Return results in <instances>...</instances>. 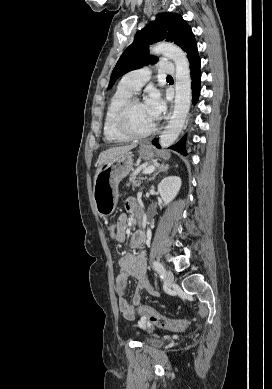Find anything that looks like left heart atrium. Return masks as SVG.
Here are the masks:
<instances>
[{"instance_id": "1", "label": "left heart atrium", "mask_w": 272, "mask_h": 389, "mask_svg": "<svg viewBox=\"0 0 272 389\" xmlns=\"http://www.w3.org/2000/svg\"><path fill=\"white\" fill-rule=\"evenodd\" d=\"M151 118L156 121L164 110V102L158 91H152L144 103Z\"/></svg>"}]
</instances>
